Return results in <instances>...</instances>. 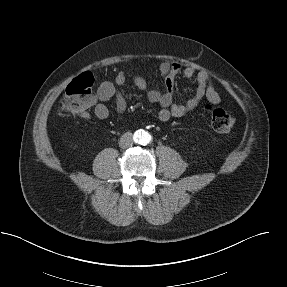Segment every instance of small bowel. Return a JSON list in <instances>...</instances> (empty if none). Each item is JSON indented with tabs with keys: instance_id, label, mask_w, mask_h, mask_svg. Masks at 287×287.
I'll list each match as a JSON object with an SVG mask.
<instances>
[{
	"instance_id": "obj_1",
	"label": "small bowel",
	"mask_w": 287,
	"mask_h": 287,
	"mask_svg": "<svg viewBox=\"0 0 287 287\" xmlns=\"http://www.w3.org/2000/svg\"><path fill=\"white\" fill-rule=\"evenodd\" d=\"M159 73L163 78L162 89L149 87L146 79L140 75L133 77V83L138 89L146 93L149 101L159 105L158 115L161 121H168L172 117L185 115L196 108L204 97L214 104L220 102V95L215 90L211 76L206 71H197L193 67H183L179 62H163L159 66ZM178 75L187 79L194 78L197 83L195 94L185 103L174 100L175 81ZM126 79L125 73L119 72L113 81H104L99 85L93 107V114L97 119L103 120L109 116L110 110L107 103L111 100H114L119 113L126 110L127 102L120 92ZM81 118L90 120V112H84Z\"/></svg>"
}]
</instances>
